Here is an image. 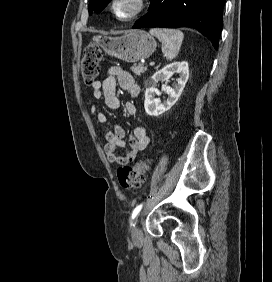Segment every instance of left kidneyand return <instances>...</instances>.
Wrapping results in <instances>:
<instances>
[{
	"mask_svg": "<svg viewBox=\"0 0 272 282\" xmlns=\"http://www.w3.org/2000/svg\"><path fill=\"white\" fill-rule=\"evenodd\" d=\"M174 73L179 74L177 83L174 84V87L166 85V82L170 80ZM189 78V66L186 61L182 62H173L169 65H166L145 82V101L144 108L148 115L150 116H159L169 110L179 99L187 81ZM165 82L162 85V91H164L168 97L163 102L160 98L155 96H160L161 92L156 88L158 82Z\"/></svg>",
	"mask_w": 272,
	"mask_h": 282,
	"instance_id": "1",
	"label": "left kidney"
}]
</instances>
